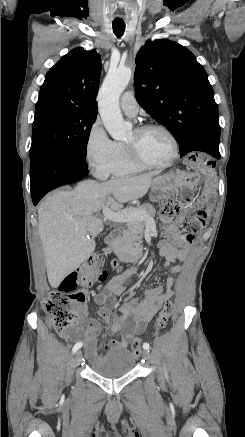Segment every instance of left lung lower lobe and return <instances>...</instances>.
Listing matches in <instances>:
<instances>
[{"label":"left lung lower lobe","instance_id":"left-lung-lower-lobe-1","mask_svg":"<svg viewBox=\"0 0 245 437\" xmlns=\"http://www.w3.org/2000/svg\"><path fill=\"white\" fill-rule=\"evenodd\" d=\"M194 151H204L213 157L220 159L219 146L217 145H212L209 143L200 144L194 148Z\"/></svg>","mask_w":245,"mask_h":437}]
</instances>
